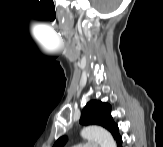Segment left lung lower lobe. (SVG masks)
<instances>
[{"mask_svg": "<svg viewBox=\"0 0 163 147\" xmlns=\"http://www.w3.org/2000/svg\"><path fill=\"white\" fill-rule=\"evenodd\" d=\"M115 140L117 142L118 147H122V138L119 134L115 137Z\"/></svg>", "mask_w": 163, "mask_h": 147, "instance_id": "obj_1", "label": "left lung lower lobe"}]
</instances>
